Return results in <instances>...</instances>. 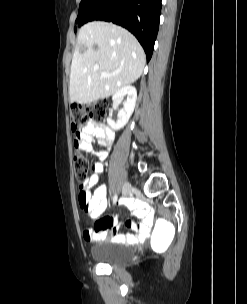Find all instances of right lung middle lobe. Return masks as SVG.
Instances as JSON below:
<instances>
[{"label":"right lung middle lobe","instance_id":"obj_1","mask_svg":"<svg viewBox=\"0 0 247 304\" xmlns=\"http://www.w3.org/2000/svg\"><path fill=\"white\" fill-rule=\"evenodd\" d=\"M102 2H103V0H81L80 6H79V13H78L75 23H80L85 18H87L90 15V13L95 8H97ZM79 26H81V24ZM75 31H76V28H75Z\"/></svg>","mask_w":247,"mask_h":304}]
</instances>
